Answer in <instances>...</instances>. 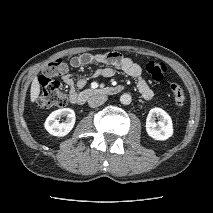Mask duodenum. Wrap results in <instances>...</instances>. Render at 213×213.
I'll list each match as a JSON object with an SVG mask.
<instances>
[{
	"instance_id": "1",
	"label": "duodenum",
	"mask_w": 213,
	"mask_h": 213,
	"mask_svg": "<svg viewBox=\"0 0 213 213\" xmlns=\"http://www.w3.org/2000/svg\"><path fill=\"white\" fill-rule=\"evenodd\" d=\"M123 90V87L121 85L117 86H110L106 88H93V89H86L80 93H78L76 97V103L77 104H83L88 99L101 96V95H116L120 93Z\"/></svg>"
}]
</instances>
